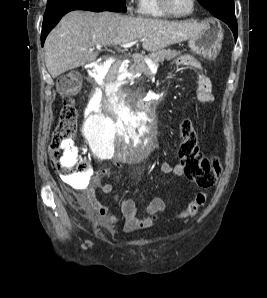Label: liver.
<instances>
[{"label":"liver","instance_id":"liver-1","mask_svg":"<svg viewBox=\"0 0 267 298\" xmlns=\"http://www.w3.org/2000/svg\"><path fill=\"white\" fill-rule=\"evenodd\" d=\"M205 24L189 21H167L130 17L112 12L72 11L48 34L45 41V63L53 78L95 61L97 45H122L143 40L147 51L198 36Z\"/></svg>","mask_w":267,"mask_h":298}]
</instances>
